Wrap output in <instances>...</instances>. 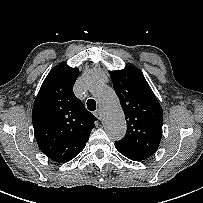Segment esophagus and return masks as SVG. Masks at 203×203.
<instances>
[{
  "mask_svg": "<svg viewBox=\"0 0 203 203\" xmlns=\"http://www.w3.org/2000/svg\"><path fill=\"white\" fill-rule=\"evenodd\" d=\"M95 116L101 120L102 119V110L101 109H98L96 112H95Z\"/></svg>",
  "mask_w": 203,
  "mask_h": 203,
  "instance_id": "34e87169",
  "label": "esophagus"
}]
</instances>
